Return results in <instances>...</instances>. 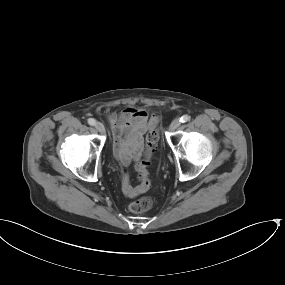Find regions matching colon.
<instances>
[{
	"label": "colon",
	"instance_id": "colon-1",
	"mask_svg": "<svg viewBox=\"0 0 285 285\" xmlns=\"http://www.w3.org/2000/svg\"><path fill=\"white\" fill-rule=\"evenodd\" d=\"M158 132L150 130L145 136V148L143 158L136 164L137 176L139 180V188L146 191L149 188L150 180L147 166L150 163L152 154L154 153L158 141ZM122 187L124 190H129L127 175L124 174ZM153 206V200L150 197H143L131 202L128 206L130 212L141 214L150 210Z\"/></svg>",
	"mask_w": 285,
	"mask_h": 285
}]
</instances>
